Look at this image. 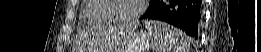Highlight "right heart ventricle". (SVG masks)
Returning a JSON list of instances; mask_svg holds the SVG:
<instances>
[{
    "label": "right heart ventricle",
    "instance_id": "right-heart-ventricle-1",
    "mask_svg": "<svg viewBox=\"0 0 261 52\" xmlns=\"http://www.w3.org/2000/svg\"><path fill=\"white\" fill-rule=\"evenodd\" d=\"M105 0H87L83 7L84 18L92 24H110L109 17L104 12Z\"/></svg>",
    "mask_w": 261,
    "mask_h": 52
}]
</instances>
